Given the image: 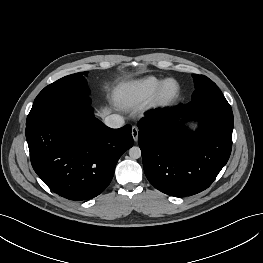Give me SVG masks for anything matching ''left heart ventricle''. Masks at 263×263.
Returning <instances> with one entry per match:
<instances>
[{"label": "left heart ventricle", "instance_id": "1", "mask_svg": "<svg viewBox=\"0 0 263 263\" xmlns=\"http://www.w3.org/2000/svg\"><path fill=\"white\" fill-rule=\"evenodd\" d=\"M174 89H175L174 85H170L169 88H168V93L173 92Z\"/></svg>", "mask_w": 263, "mask_h": 263}]
</instances>
